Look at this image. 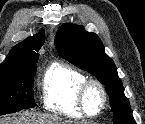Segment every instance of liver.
<instances>
[{"label": "liver", "mask_w": 145, "mask_h": 124, "mask_svg": "<svg viewBox=\"0 0 145 124\" xmlns=\"http://www.w3.org/2000/svg\"><path fill=\"white\" fill-rule=\"evenodd\" d=\"M56 115L24 112L18 118L0 119V124H67Z\"/></svg>", "instance_id": "liver-1"}]
</instances>
